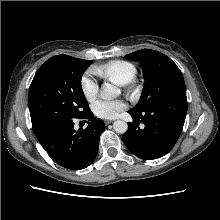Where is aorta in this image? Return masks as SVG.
Segmentation results:
<instances>
[{
	"label": "aorta",
	"mask_w": 220,
	"mask_h": 220,
	"mask_svg": "<svg viewBox=\"0 0 220 220\" xmlns=\"http://www.w3.org/2000/svg\"><path fill=\"white\" fill-rule=\"evenodd\" d=\"M101 97L105 100L116 98L120 93V89L110 83L102 84ZM113 129L116 133L124 134L128 129L125 121L117 120L113 123Z\"/></svg>",
	"instance_id": "aorta-1"
}]
</instances>
